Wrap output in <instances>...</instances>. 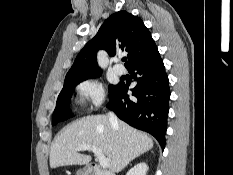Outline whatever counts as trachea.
Here are the masks:
<instances>
[{"label":"trachea","instance_id":"obj_1","mask_svg":"<svg viewBox=\"0 0 233 175\" xmlns=\"http://www.w3.org/2000/svg\"><path fill=\"white\" fill-rule=\"evenodd\" d=\"M126 60H127V58H123V59H122V61H126Z\"/></svg>","mask_w":233,"mask_h":175}]
</instances>
